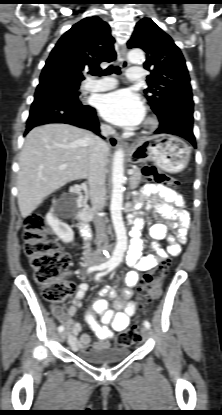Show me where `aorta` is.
Instances as JSON below:
<instances>
[{
	"label": "aorta",
	"instance_id": "obj_1",
	"mask_svg": "<svg viewBox=\"0 0 222 415\" xmlns=\"http://www.w3.org/2000/svg\"><path fill=\"white\" fill-rule=\"evenodd\" d=\"M128 60L132 64H142L145 60L141 49H133L128 53ZM123 182H124V152L122 149L115 151L112 167V194H111V219L116 234V247L110 258V263L118 265L127 250V234L122 218L123 206Z\"/></svg>",
	"mask_w": 222,
	"mask_h": 415
}]
</instances>
